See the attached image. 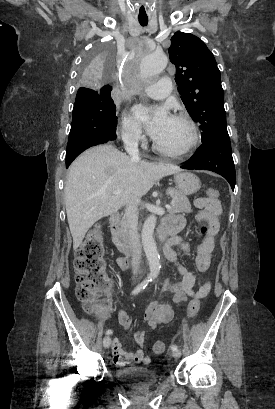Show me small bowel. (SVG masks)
<instances>
[{
    "mask_svg": "<svg viewBox=\"0 0 275 409\" xmlns=\"http://www.w3.org/2000/svg\"><path fill=\"white\" fill-rule=\"evenodd\" d=\"M195 206L199 209L197 213V220L205 221L209 226V231L203 241L198 245L196 249V266L198 271L206 272L212 262L214 247H215V236L219 230V220L221 216V205L219 201L210 200L209 198L199 197L195 200ZM166 220H180L182 221V226L184 220L182 218H170ZM170 245H178L181 250L189 255L191 252V247L188 241L179 236L174 235L170 241ZM171 253L166 257L173 263L178 273L181 276L179 282L175 281H164L161 284V289L169 290L174 293V302L182 303L186 301L187 297H193L195 295H200L204 297L208 294L211 288L210 282L205 283L199 290H195V275L194 273L185 267L178 259L176 252L171 248ZM127 265L125 263L120 264V267L125 268ZM173 310L168 304H159L156 302H150L145 305L143 311V318L149 329H155L159 325L169 322L172 319ZM120 326L122 328H129L131 326V321L129 316L122 312L119 315ZM145 332L138 331L134 334V341L139 347L135 353H126L122 350L121 343L119 340L115 339L112 344L113 359L116 365L125 366L133 362H142L143 364H149L148 353L143 352L142 347L144 345ZM143 359H147L144 361Z\"/></svg>",
    "mask_w": 275,
    "mask_h": 409,
    "instance_id": "obj_1",
    "label": "small bowel"
}]
</instances>
